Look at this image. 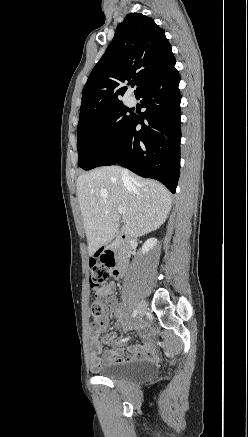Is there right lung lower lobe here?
<instances>
[{"mask_svg":"<svg viewBox=\"0 0 248 437\" xmlns=\"http://www.w3.org/2000/svg\"><path fill=\"white\" fill-rule=\"evenodd\" d=\"M172 56L135 93L146 111L133 114L111 150L94 164L118 163L134 173L162 182L175 193L180 175V76ZM142 125L137 131L136 126Z\"/></svg>","mask_w":248,"mask_h":437,"instance_id":"obj_1","label":"right lung lower lobe"}]
</instances>
